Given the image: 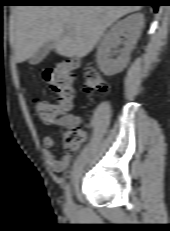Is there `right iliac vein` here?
Instances as JSON below:
<instances>
[{"mask_svg": "<svg viewBox=\"0 0 170 231\" xmlns=\"http://www.w3.org/2000/svg\"><path fill=\"white\" fill-rule=\"evenodd\" d=\"M74 209V204L72 202L68 203L67 211L71 212Z\"/></svg>", "mask_w": 170, "mask_h": 231, "instance_id": "1", "label": "right iliac vein"}]
</instances>
